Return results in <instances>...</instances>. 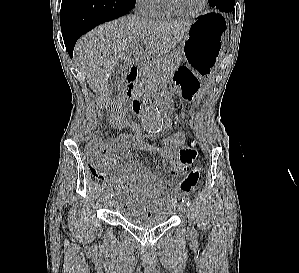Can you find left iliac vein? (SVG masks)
<instances>
[{
	"mask_svg": "<svg viewBox=\"0 0 299 273\" xmlns=\"http://www.w3.org/2000/svg\"><path fill=\"white\" fill-rule=\"evenodd\" d=\"M179 210H180L184 215H187V213H188L187 206H186L185 203H183V202L179 204Z\"/></svg>",
	"mask_w": 299,
	"mask_h": 273,
	"instance_id": "left-iliac-vein-1",
	"label": "left iliac vein"
}]
</instances>
